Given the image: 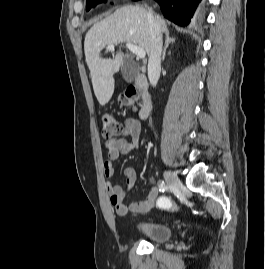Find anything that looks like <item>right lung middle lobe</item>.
<instances>
[{
  "label": "right lung middle lobe",
  "mask_w": 265,
  "mask_h": 269,
  "mask_svg": "<svg viewBox=\"0 0 265 269\" xmlns=\"http://www.w3.org/2000/svg\"><path fill=\"white\" fill-rule=\"evenodd\" d=\"M106 0H86V10H90L92 7H95L97 4L101 2H105Z\"/></svg>",
  "instance_id": "dd1d6c3e"
}]
</instances>
